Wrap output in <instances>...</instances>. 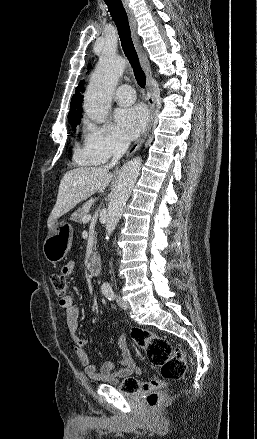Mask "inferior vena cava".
Returning <instances> with one entry per match:
<instances>
[{"label":"inferior vena cava","instance_id":"1","mask_svg":"<svg viewBox=\"0 0 257 439\" xmlns=\"http://www.w3.org/2000/svg\"><path fill=\"white\" fill-rule=\"evenodd\" d=\"M129 145H130V141H129V140L124 139V138L119 139V140L115 143V146H114V149H113V158H112V161H111V163H110L108 166H106V167H107V168H111V167H113V166L118 162V160L123 156V154L127 151Z\"/></svg>","mask_w":257,"mask_h":439}]
</instances>
